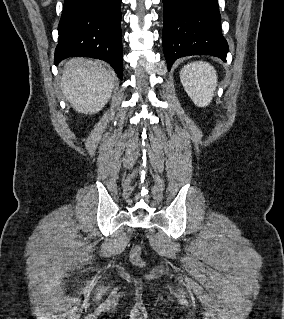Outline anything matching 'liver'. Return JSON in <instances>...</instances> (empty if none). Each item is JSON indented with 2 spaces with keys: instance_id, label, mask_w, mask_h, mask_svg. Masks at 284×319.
<instances>
[{
  "instance_id": "obj_1",
  "label": "liver",
  "mask_w": 284,
  "mask_h": 319,
  "mask_svg": "<svg viewBox=\"0 0 284 319\" xmlns=\"http://www.w3.org/2000/svg\"><path fill=\"white\" fill-rule=\"evenodd\" d=\"M116 75L98 60L75 57L69 59L62 75V92L71 106L83 114L102 110L109 101Z\"/></svg>"
}]
</instances>
